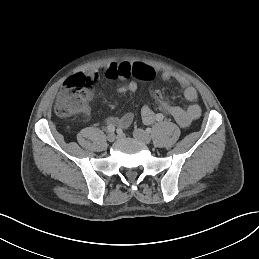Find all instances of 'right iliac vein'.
Returning a JSON list of instances; mask_svg holds the SVG:
<instances>
[{
    "label": "right iliac vein",
    "mask_w": 259,
    "mask_h": 259,
    "mask_svg": "<svg viewBox=\"0 0 259 259\" xmlns=\"http://www.w3.org/2000/svg\"><path fill=\"white\" fill-rule=\"evenodd\" d=\"M115 139H116V136H115V134L113 132L108 133L107 140L109 142H113Z\"/></svg>",
    "instance_id": "1"
}]
</instances>
